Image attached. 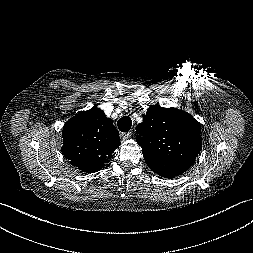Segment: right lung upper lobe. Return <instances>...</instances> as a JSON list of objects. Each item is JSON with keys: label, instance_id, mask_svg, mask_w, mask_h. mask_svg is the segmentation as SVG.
<instances>
[{"label": "right lung upper lobe", "instance_id": "1", "mask_svg": "<svg viewBox=\"0 0 253 253\" xmlns=\"http://www.w3.org/2000/svg\"><path fill=\"white\" fill-rule=\"evenodd\" d=\"M118 135L101 109L81 111L64 124L62 153L79 170L97 172L121 144Z\"/></svg>", "mask_w": 253, "mask_h": 253}]
</instances>
